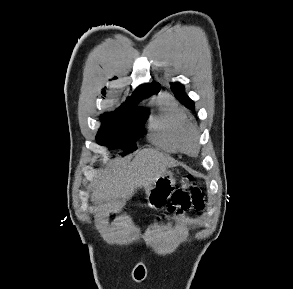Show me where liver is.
<instances>
[{
	"instance_id": "1",
	"label": "liver",
	"mask_w": 293,
	"mask_h": 289,
	"mask_svg": "<svg viewBox=\"0 0 293 289\" xmlns=\"http://www.w3.org/2000/svg\"><path fill=\"white\" fill-rule=\"evenodd\" d=\"M176 165L174 159L154 149L139 151L128 164L123 159H115L108 170L97 175L91 199L95 202L130 199L141 188L148 194L167 167Z\"/></svg>"
}]
</instances>
